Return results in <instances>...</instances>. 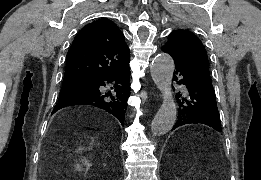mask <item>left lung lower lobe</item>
<instances>
[{
	"mask_svg": "<svg viewBox=\"0 0 261 180\" xmlns=\"http://www.w3.org/2000/svg\"><path fill=\"white\" fill-rule=\"evenodd\" d=\"M163 52H166L162 49ZM173 79L183 85L176 95L179 104L174 129L191 123H202L221 131V121L212 83L195 70L175 61Z\"/></svg>",
	"mask_w": 261,
	"mask_h": 180,
	"instance_id": "1",
	"label": "left lung lower lobe"
}]
</instances>
